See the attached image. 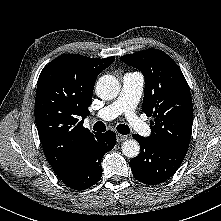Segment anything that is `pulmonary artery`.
Returning <instances> with one entry per match:
<instances>
[{
    "label": "pulmonary artery",
    "mask_w": 221,
    "mask_h": 221,
    "mask_svg": "<svg viewBox=\"0 0 221 221\" xmlns=\"http://www.w3.org/2000/svg\"><path fill=\"white\" fill-rule=\"evenodd\" d=\"M144 88V77L139 72H127L122 77V87L115 101L108 104L97 113V118L112 120L124 114L129 125L142 136L150 134V127L135 113Z\"/></svg>",
    "instance_id": "obj_1"
}]
</instances>
